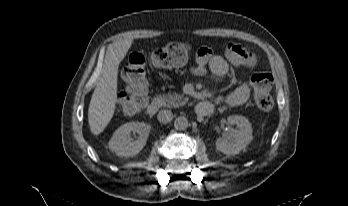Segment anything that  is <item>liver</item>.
I'll list each match as a JSON object with an SVG mask.
<instances>
[{
  "instance_id": "1",
  "label": "liver",
  "mask_w": 348,
  "mask_h": 206,
  "mask_svg": "<svg viewBox=\"0 0 348 206\" xmlns=\"http://www.w3.org/2000/svg\"><path fill=\"white\" fill-rule=\"evenodd\" d=\"M132 45V40L121 42L106 58L101 77L92 94L88 109V123L94 135H99L112 119L117 101L118 67Z\"/></svg>"
}]
</instances>
